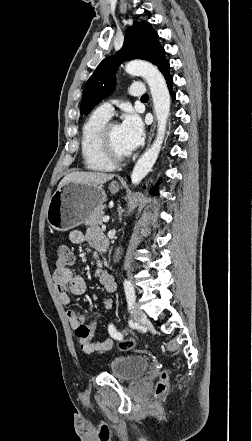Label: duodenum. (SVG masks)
Here are the masks:
<instances>
[{
    "instance_id": "410a0bca",
    "label": "duodenum",
    "mask_w": 252,
    "mask_h": 441,
    "mask_svg": "<svg viewBox=\"0 0 252 441\" xmlns=\"http://www.w3.org/2000/svg\"><path fill=\"white\" fill-rule=\"evenodd\" d=\"M107 245H108L107 239L104 238L102 240V246L99 247V251H105L107 248Z\"/></svg>"
}]
</instances>
